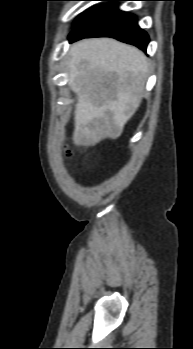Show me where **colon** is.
<instances>
[{
    "instance_id": "obj_1",
    "label": "colon",
    "mask_w": 193,
    "mask_h": 349,
    "mask_svg": "<svg viewBox=\"0 0 193 349\" xmlns=\"http://www.w3.org/2000/svg\"><path fill=\"white\" fill-rule=\"evenodd\" d=\"M71 154L69 152H66V157L69 158Z\"/></svg>"
}]
</instances>
